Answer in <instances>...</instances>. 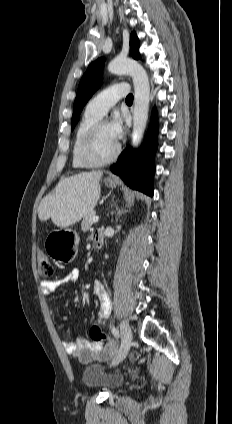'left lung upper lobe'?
Returning <instances> with one entry per match:
<instances>
[{
    "label": "left lung upper lobe",
    "instance_id": "1",
    "mask_svg": "<svg viewBox=\"0 0 232 424\" xmlns=\"http://www.w3.org/2000/svg\"><path fill=\"white\" fill-rule=\"evenodd\" d=\"M138 49L139 40L136 36V33L132 32L130 36V52L134 59H140ZM104 62L105 59L103 57L99 58L95 62H92L79 83L73 107L72 130L79 120V114L81 113L83 106L87 103V101L101 84Z\"/></svg>",
    "mask_w": 232,
    "mask_h": 424
}]
</instances>
